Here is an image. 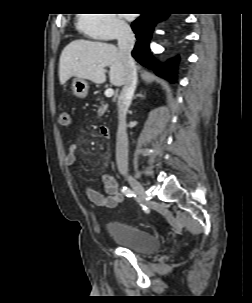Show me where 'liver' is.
Here are the masks:
<instances>
[{
	"label": "liver",
	"instance_id": "liver-1",
	"mask_svg": "<svg viewBox=\"0 0 252 303\" xmlns=\"http://www.w3.org/2000/svg\"><path fill=\"white\" fill-rule=\"evenodd\" d=\"M107 66H110L111 84L117 87L124 85L126 69L115 45L83 39L74 40L63 49L60 56V84H65L71 77L102 84L106 81Z\"/></svg>",
	"mask_w": 252,
	"mask_h": 303
}]
</instances>
